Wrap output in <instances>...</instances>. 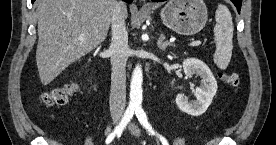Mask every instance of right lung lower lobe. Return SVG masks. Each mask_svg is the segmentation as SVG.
<instances>
[{
  "label": "right lung lower lobe",
  "instance_id": "right-lung-lower-lobe-1",
  "mask_svg": "<svg viewBox=\"0 0 276 145\" xmlns=\"http://www.w3.org/2000/svg\"><path fill=\"white\" fill-rule=\"evenodd\" d=\"M35 0H31V2L33 3ZM123 1H125V2H127V3H132L133 2V0H123Z\"/></svg>",
  "mask_w": 276,
  "mask_h": 145
}]
</instances>
